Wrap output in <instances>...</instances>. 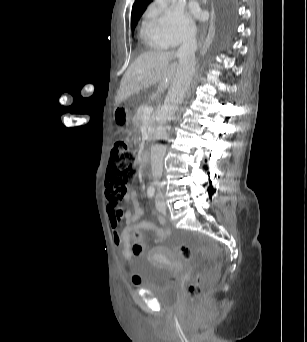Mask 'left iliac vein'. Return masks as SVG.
Returning <instances> with one entry per match:
<instances>
[{
    "mask_svg": "<svg viewBox=\"0 0 307 342\" xmlns=\"http://www.w3.org/2000/svg\"><path fill=\"white\" fill-rule=\"evenodd\" d=\"M156 209L160 212H164L166 210V203L163 200H157Z\"/></svg>",
    "mask_w": 307,
    "mask_h": 342,
    "instance_id": "left-iliac-vein-1",
    "label": "left iliac vein"
}]
</instances>
